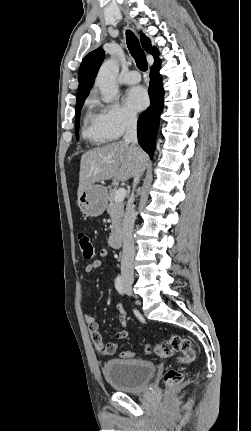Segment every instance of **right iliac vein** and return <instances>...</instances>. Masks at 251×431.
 Listing matches in <instances>:
<instances>
[{"instance_id": "63e3f726", "label": "right iliac vein", "mask_w": 251, "mask_h": 431, "mask_svg": "<svg viewBox=\"0 0 251 431\" xmlns=\"http://www.w3.org/2000/svg\"><path fill=\"white\" fill-rule=\"evenodd\" d=\"M125 288L129 291L132 292V285L130 283H125Z\"/></svg>"}]
</instances>
